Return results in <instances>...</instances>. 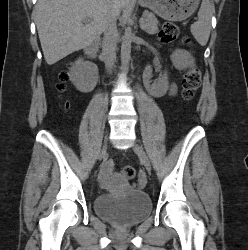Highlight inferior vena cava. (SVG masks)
<instances>
[{
	"instance_id": "602c4592",
	"label": "inferior vena cava",
	"mask_w": 248,
	"mask_h": 250,
	"mask_svg": "<svg viewBox=\"0 0 248 250\" xmlns=\"http://www.w3.org/2000/svg\"><path fill=\"white\" fill-rule=\"evenodd\" d=\"M117 17L114 11L110 12L106 17L104 25V35L102 41V51L106 68L111 71L116 60V44H117Z\"/></svg>"
}]
</instances>
